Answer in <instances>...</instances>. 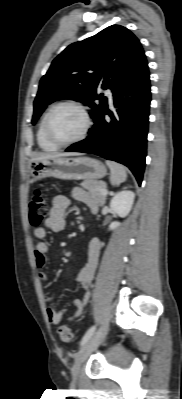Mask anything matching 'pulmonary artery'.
Listing matches in <instances>:
<instances>
[{
	"mask_svg": "<svg viewBox=\"0 0 182 399\" xmlns=\"http://www.w3.org/2000/svg\"><path fill=\"white\" fill-rule=\"evenodd\" d=\"M106 94H107V96L109 98V101L112 102L113 101V93H112V91L110 89H108L106 91Z\"/></svg>",
	"mask_w": 182,
	"mask_h": 399,
	"instance_id": "pulmonary-artery-1",
	"label": "pulmonary artery"
}]
</instances>
